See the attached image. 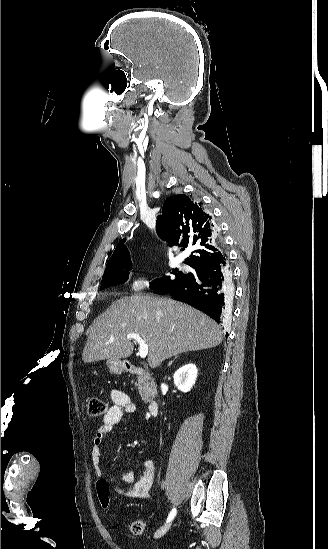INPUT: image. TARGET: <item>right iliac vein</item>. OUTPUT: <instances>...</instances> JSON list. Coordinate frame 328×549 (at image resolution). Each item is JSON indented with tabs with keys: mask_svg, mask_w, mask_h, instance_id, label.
I'll return each instance as SVG.
<instances>
[{
	"mask_svg": "<svg viewBox=\"0 0 328 549\" xmlns=\"http://www.w3.org/2000/svg\"><path fill=\"white\" fill-rule=\"evenodd\" d=\"M171 527V523H168L162 527H160L155 533H154V539H158L162 537Z\"/></svg>",
	"mask_w": 328,
	"mask_h": 549,
	"instance_id": "obj_1",
	"label": "right iliac vein"
}]
</instances>
